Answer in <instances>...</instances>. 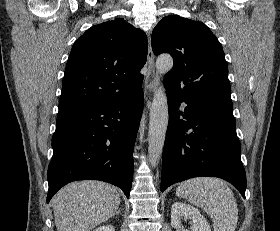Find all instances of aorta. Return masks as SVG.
Instances as JSON below:
<instances>
[{
  "label": "aorta",
  "instance_id": "obj_1",
  "mask_svg": "<svg viewBox=\"0 0 280 231\" xmlns=\"http://www.w3.org/2000/svg\"><path fill=\"white\" fill-rule=\"evenodd\" d=\"M173 68V58L169 54H161L156 60V70L159 76ZM168 104L162 86L156 88L150 108L148 131V155L152 167L157 165L163 151L168 125Z\"/></svg>",
  "mask_w": 280,
  "mask_h": 231
}]
</instances>
